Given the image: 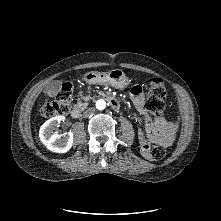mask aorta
Here are the masks:
<instances>
[{"instance_id": "aorta-1", "label": "aorta", "mask_w": 221, "mask_h": 221, "mask_svg": "<svg viewBox=\"0 0 221 221\" xmlns=\"http://www.w3.org/2000/svg\"><path fill=\"white\" fill-rule=\"evenodd\" d=\"M105 107H106V102L104 101V100H97V102H96V108L98 109V110H104L105 109Z\"/></svg>"}]
</instances>
